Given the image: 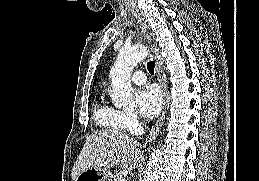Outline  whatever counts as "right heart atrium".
I'll return each instance as SVG.
<instances>
[{"mask_svg":"<svg viewBox=\"0 0 259 181\" xmlns=\"http://www.w3.org/2000/svg\"><path fill=\"white\" fill-rule=\"evenodd\" d=\"M123 122L125 128L129 131H136L140 126L139 118L136 114L130 112H123Z\"/></svg>","mask_w":259,"mask_h":181,"instance_id":"right-heart-atrium-1","label":"right heart atrium"}]
</instances>
